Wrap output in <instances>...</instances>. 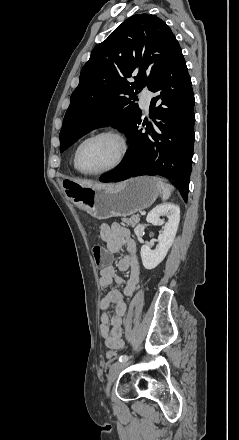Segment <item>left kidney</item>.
<instances>
[{
	"label": "left kidney",
	"mask_w": 239,
	"mask_h": 440,
	"mask_svg": "<svg viewBox=\"0 0 239 440\" xmlns=\"http://www.w3.org/2000/svg\"><path fill=\"white\" fill-rule=\"evenodd\" d=\"M160 216H166L168 222L163 226L162 234L158 236V244L155 250H151L147 244L141 248L142 264L146 270H153L158 264H161L168 250H170L180 222L179 206H176V204H160V206H156L149 212L146 222L154 224V226L161 224Z\"/></svg>",
	"instance_id": "left-kidney-1"
}]
</instances>
